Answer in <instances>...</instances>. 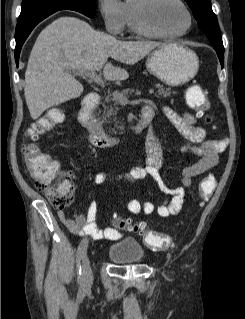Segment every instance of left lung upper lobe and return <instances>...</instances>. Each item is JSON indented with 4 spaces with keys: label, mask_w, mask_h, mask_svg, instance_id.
I'll use <instances>...</instances> for the list:
<instances>
[{
    "label": "left lung upper lobe",
    "mask_w": 245,
    "mask_h": 319,
    "mask_svg": "<svg viewBox=\"0 0 245 319\" xmlns=\"http://www.w3.org/2000/svg\"><path fill=\"white\" fill-rule=\"evenodd\" d=\"M197 20L202 32L210 40L214 48L224 51L218 20L211 8V0H185Z\"/></svg>",
    "instance_id": "5c2ea615"
}]
</instances>
